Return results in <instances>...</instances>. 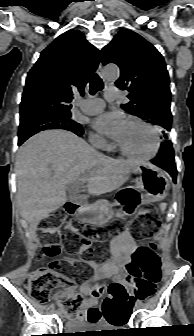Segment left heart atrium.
I'll use <instances>...</instances> for the list:
<instances>
[{"instance_id":"1","label":"left heart atrium","mask_w":194,"mask_h":336,"mask_svg":"<svg viewBox=\"0 0 194 336\" xmlns=\"http://www.w3.org/2000/svg\"><path fill=\"white\" fill-rule=\"evenodd\" d=\"M125 121L119 113H105L94 121V127L102 134L118 140L125 127Z\"/></svg>"}]
</instances>
